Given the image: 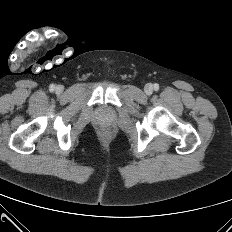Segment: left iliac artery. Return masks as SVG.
Returning a JSON list of instances; mask_svg holds the SVG:
<instances>
[{
    "label": "left iliac artery",
    "mask_w": 232,
    "mask_h": 232,
    "mask_svg": "<svg viewBox=\"0 0 232 232\" xmlns=\"http://www.w3.org/2000/svg\"><path fill=\"white\" fill-rule=\"evenodd\" d=\"M154 89H155V90H158V89H159V85H158V84H155V85H154Z\"/></svg>",
    "instance_id": "44dca946"
}]
</instances>
